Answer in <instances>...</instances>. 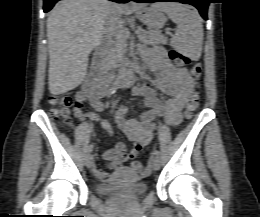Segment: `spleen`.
Returning a JSON list of instances; mask_svg holds the SVG:
<instances>
[{"mask_svg":"<svg viewBox=\"0 0 260 217\" xmlns=\"http://www.w3.org/2000/svg\"><path fill=\"white\" fill-rule=\"evenodd\" d=\"M152 6L166 13L177 25L170 45L185 55L198 57L203 43V25L198 14L179 3H159Z\"/></svg>","mask_w":260,"mask_h":217,"instance_id":"obj_1","label":"spleen"}]
</instances>
